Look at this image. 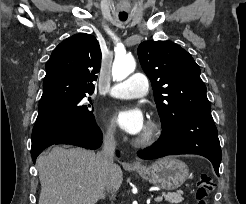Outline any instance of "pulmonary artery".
Instances as JSON below:
<instances>
[{"label": "pulmonary artery", "mask_w": 246, "mask_h": 204, "mask_svg": "<svg viewBox=\"0 0 246 204\" xmlns=\"http://www.w3.org/2000/svg\"><path fill=\"white\" fill-rule=\"evenodd\" d=\"M149 82L142 73H135L123 82L115 84L110 95L120 99H132L142 97L147 94Z\"/></svg>", "instance_id": "pulmonary-artery-1"}]
</instances>
